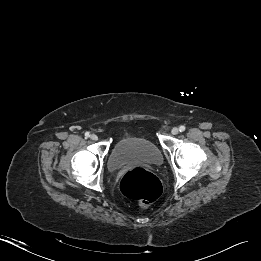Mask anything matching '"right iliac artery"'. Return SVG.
<instances>
[{
	"label": "right iliac artery",
	"instance_id": "82829eb1",
	"mask_svg": "<svg viewBox=\"0 0 261 261\" xmlns=\"http://www.w3.org/2000/svg\"><path fill=\"white\" fill-rule=\"evenodd\" d=\"M88 137H90V133H89V132H86V133H85V138H88Z\"/></svg>",
	"mask_w": 261,
	"mask_h": 261
}]
</instances>
